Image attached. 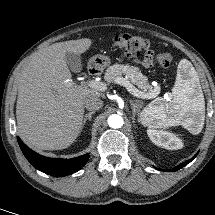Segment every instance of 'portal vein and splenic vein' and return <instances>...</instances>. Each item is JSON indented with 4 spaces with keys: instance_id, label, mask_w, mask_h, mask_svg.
I'll use <instances>...</instances> for the list:
<instances>
[{
    "instance_id": "portal-vein-and-splenic-vein-1",
    "label": "portal vein and splenic vein",
    "mask_w": 215,
    "mask_h": 215,
    "mask_svg": "<svg viewBox=\"0 0 215 215\" xmlns=\"http://www.w3.org/2000/svg\"><path fill=\"white\" fill-rule=\"evenodd\" d=\"M115 82L117 84L124 86L132 95H134L137 98L152 99V98L156 97L154 94H151V93L147 94V93H143L142 91L138 90L126 78L118 77V78H116ZM84 85L87 87H90L94 90H97V91H105L107 89L106 85L103 82H99L96 80L86 81V82H84Z\"/></svg>"
}]
</instances>
